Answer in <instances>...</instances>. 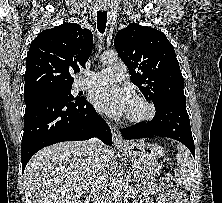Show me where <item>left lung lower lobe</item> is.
Wrapping results in <instances>:
<instances>
[{"instance_id": "left-lung-lower-lobe-1", "label": "left lung lower lobe", "mask_w": 222, "mask_h": 203, "mask_svg": "<svg viewBox=\"0 0 222 203\" xmlns=\"http://www.w3.org/2000/svg\"><path fill=\"white\" fill-rule=\"evenodd\" d=\"M155 109L156 114L150 122L122 129L123 137L128 140L153 136L169 137L183 143L195 156L186 101L170 99Z\"/></svg>"}]
</instances>
